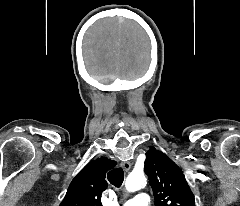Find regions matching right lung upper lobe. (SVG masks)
I'll list each match as a JSON object with an SVG mask.
<instances>
[{"mask_svg":"<svg viewBox=\"0 0 240 206\" xmlns=\"http://www.w3.org/2000/svg\"><path fill=\"white\" fill-rule=\"evenodd\" d=\"M115 165L107 158L89 162L72 180L59 206H102L101 194L107 188L105 174Z\"/></svg>","mask_w":240,"mask_h":206,"instance_id":"obj_1","label":"right lung upper lobe"}]
</instances>
